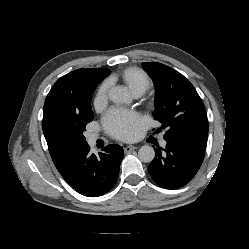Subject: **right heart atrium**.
<instances>
[{"label": "right heart atrium", "instance_id": "1", "mask_svg": "<svg viewBox=\"0 0 249 249\" xmlns=\"http://www.w3.org/2000/svg\"><path fill=\"white\" fill-rule=\"evenodd\" d=\"M110 87L111 84L109 81H104L99 86L95 97V104L97 107L102 106L107 101Z\"/></svg>", "mask_w": 249, "mask_h": 249}]
</instances>
